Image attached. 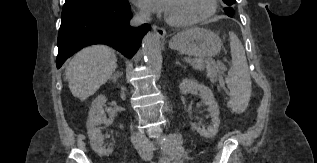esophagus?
<instances>
[{
    "label": "esophagus",
    "instance_id": "esophagus-1",
    "mask_svg": "<svg viewBox=\"0 0 317 163\" xmlns=\"http://www.w3.org/2000/svg\"><path fill=\"white\" fill-rule=\"evenodd\" d=\"M152 29L154 30V32L160 37V38H164L166 36V31L164 28L159 27L157 25H153Z\"/></svg>",
    "mask_w": 317,
    "mask_h": 163
}]
</instances>
